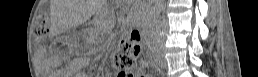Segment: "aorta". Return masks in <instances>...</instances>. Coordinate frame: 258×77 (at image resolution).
<instances>
[{"label": "aorta", "instance_id": "aorta-1", "mask_svg": "<svg viewBox=\"0 0 258 77\" xmlns=\"http://www.w3.org/2000/svg\"><path fill=\"white\" fill-rule=\"evenodd\" d=\"M162 9H163V0H155V4L151 12V19L153 22L160 15Z\"/></svg>", "mask_w": 258, "mask_h": 77}]
</instances>
